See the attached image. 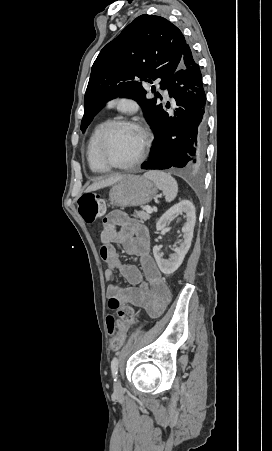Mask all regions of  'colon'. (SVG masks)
<instances>
[{"label":"colon","mask_w":272,"mask_h":451,"mask_svg":"<svg viewBox=\"0 0 272 451\" xmlns=\"http://www.w3.org/2000/svg\"><path fill=\"white\" fill-rule=\"evenodd\" d=\"M104 205V198L96 192L87 193L78 199L79 214L88 225L94 224L97 219L103 215ZM106 305L110 307L111 313H117L118 320L121 323L120 334L124 336L129 324L133 323L135 320L134 310L130 307L121 306L116 298H108L106 300ZM106 321L109 332H113L115 319L112 316H108ZM110 346L121 347L122 339L111 338Z\"/></svg>","instance_id":"5ec220e1"}]
</instances>
